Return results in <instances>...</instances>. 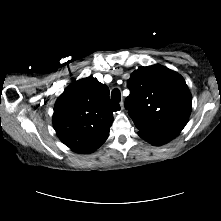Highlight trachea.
<instances>
[{
	"label": "trachea",
	"mask_w": 221,
	"mask_h": 221,
	"mask_svg": "<svg viewBox=\"0 0 221 221\" xmlns=\"http://www.w3.org/2000/svg\"><path fill=\"white\" fill-rule=\"evenodd\" d=\"M111 98H112V100L119 102L121 100L120 90L117 88L113 89V91L111 93Z\"/></svg>",
	"instance_id": "trachea-1"
}]
</instances>
